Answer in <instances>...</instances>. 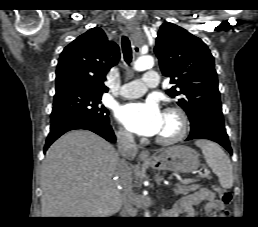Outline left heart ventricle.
Segmentation results:
<instances>
[{"mask_svg": "<svg viewBox=\"0 0 258 227\" xmlns=\"http://www.w3.org/2000/svg\"><path fill=\"white\" fill-rule=\"evenodd\" d=\"M178 131V121L174 116L163 115V121L158 136L170 137Z\"/></svg>", "mask_w": 258, "mask_h": 227, "instance_id": "obj_1", "label": "left heart ventricle"}]
</instances>
